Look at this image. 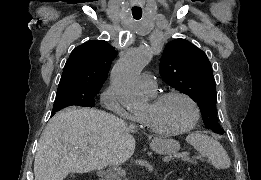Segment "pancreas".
<instances>
[{"instance_id":"pancreas-1","label":"pancreas","mask_w":261,"mask_h":180,"mask_svg":"<svg viewBox=\"0 0 261 180\" xmlns=\"http://www.w3.org/2000/svg\"><path fill=\"white\" fill-rule=\"evenodd\" d=\"M189 163L190 164H197L196 159H191V158H190V162Z\"/></svg>"}]
</instances>
